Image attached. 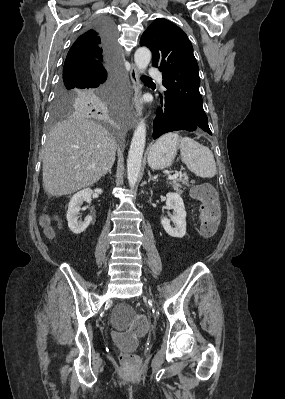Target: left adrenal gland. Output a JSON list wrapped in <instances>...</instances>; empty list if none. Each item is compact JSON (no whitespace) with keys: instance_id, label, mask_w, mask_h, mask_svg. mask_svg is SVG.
Wrapping results in <instances>:
<instances>
[{"instance_id":"left-adrenal-gland-1","label":"left adrenal gland","mask_w":285,"mask_h":399,"mask_svg":"<svg viewBox=\"0 0 285 399\" xmlns=\"http://www.w3.org/2000/svg\"><path fill=\"white\" fill-rule=\"evenodd\" d=\"M148 176H149L148 182H150L151 180L152 181H157L155 177H152L150 171H148Z\"/></svg>"}]
</instances>
